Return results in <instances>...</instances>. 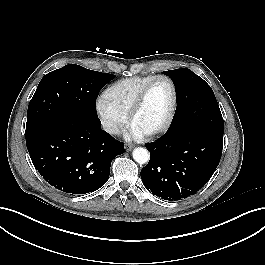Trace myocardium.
Instances as JSON below:
<instances>
[{
  "mask_svg": "<svg viewBox=\"0 0 265 265\" xmlns=\"http://www.w3.org/2000/svg\"><path fill=\"white\" fill-rule=\"evenodd\" d=\"M158 80H166L171 87L172 90V103H171V107L170 110L168 112V115L166 117V119L164 120V122L158 126L157 128H155L154 130L145 133L143 136L145 138L148 139H153L156 138L160 135H162L163 133H165L168 128L170 127V125L173 122L176 110H177V104H178V92H177V87L175 82L172 80V78H170L167 75H156L154 76L139 92L138 96L136 97L130 112L128 114V122L130 125H132V122L135 118V116L138 114V112L141 110L142 106L144 105V102L146 100L147 94L150 90V88L152 87V85L158 81Z\"/></svg>",
  "mask_w": 265,
  "mask_h": 265,
  "instance_id": "myocardium-1",
  "label": "myocardium"
}]
</instances>
